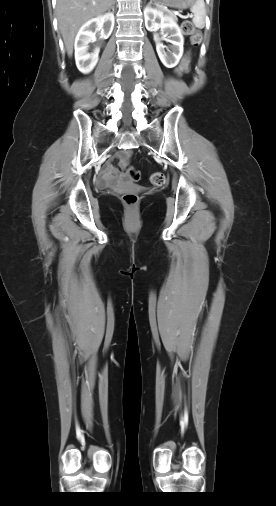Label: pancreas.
<instances>
[{"label":"pancreas","mask_w":276,"mask_h":506,"mask_svg":"<svg viewBox=\"0 0 276 506\" xmlns=\"http://www.w3.org/2000/svg\"><path fill=\"white\" fill-rule=\"evenodd\" d=\"M169 15H170V17H171L173 20H177V17H176L174 14L169 13Z\"/></svg>","instance_id":"1"}]
</instances>
